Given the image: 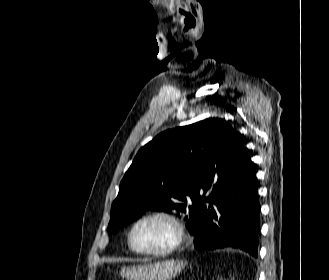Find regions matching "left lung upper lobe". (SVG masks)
Returning a JSON list of instances; mask_svg holds the SVG:
<instances>
[{"instance_id":"1","label":"left lung upper lobe","mask_w":329,"mask_h":280,"mask_svg":"<svg viewBox=\"0 0 329 280\" xmlns=\"http://www.w3.org/2000/svg\"><path fill=\"white\" fill-rule=\"evenodd\" d=\"M242 148L240 134L219 118L160 133L139 150L125 173L111 207L108 233L148 210H176L189 214L187 226L196 234L203 201L231 182Z\"/></svg>"}]
</instances>
